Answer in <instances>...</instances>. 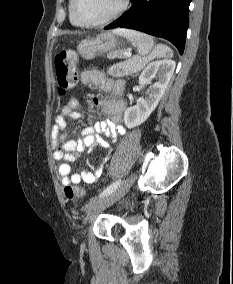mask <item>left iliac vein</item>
<instances>
[{
  "instance_id": "1",
  "label": "left iliac vein",
  "mask_w": 233,
  "mask_h": 284,
  "mask_svg": "<svg viewBox=\"0 0 233 284\" xmlns=\"http://www.w3.org/2000/svg\"><path fill=\"white\" fill-rule=\"evenodd\" d=\"M133 179L134 177L131 175L119 188L112 193L91 200L86 207L87 217H94L100 211L120 200L130 189Z\"/></svg>"
}]
</instances>
